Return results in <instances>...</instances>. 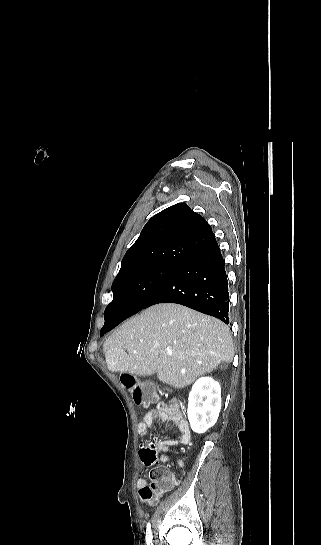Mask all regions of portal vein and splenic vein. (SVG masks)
Masks as SVG:
<instances>
[{
  "label": "portal vein and splenic vein",
  "instance_id": "portal-vein-and-splenic-vein-1",
  "mask_svg": "<svg viewBox=\"0 0 321 545\" xmlns=\"http://www.w3.org/2000/svg\"><path fill=\"white\" fill-rule=\"evenodd\" d=\"M168 355H173L172 351H167Z\"/></svg>",
  "mask_w": 321,
  "mask_h": 545
}]
</instances>
